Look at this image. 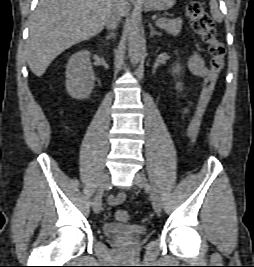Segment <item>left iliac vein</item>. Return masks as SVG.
Listing matches in <instances>:
<instances>
[{"mask_svg": "<svg viewBox=\"0 0 254 267\" xmlns=\"http://www.w3.org/2000/svg\"><path fill=\"white\" fill-rule=\"evenodd\" d=\"M134 181L139 187L144 188L149 192L153 209L155 210L156 213H160L161 212L160 198L156 193V191L150 186L145 175L140 172L136 173L134 176Z\"/></svg>", "mask_w": 254, "mask_h": 267, "instance_id": "left-iliac-vein-1", "label": "left iliac vein"}]
</instances>
